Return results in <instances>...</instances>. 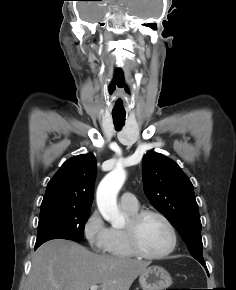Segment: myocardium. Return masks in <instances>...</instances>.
I'll use <instances>...</instances> for the list:
<instances>
[{"label":"myocardium","mask_w":236,"mask_h":290,"mask_svg":"<svg viewBox=\"0 0 236 290\" xmlns=\"http://www.w3.org/2000/svg\"><path fill=\"white\" fill-rule=\"evenodd\" d=\"M147 216H155L158 217L162 222L166 225V227L169 230L171 242L169 247L158 254H150L145 252L139 242V236L138 231L141 222L147 217ZM125 236L128 242V245L132 251V253L140 258L148 259V260H159L166 258L170 254L174 252V250L177 247V232L172 224V222L168 219L166 215H164L162 212L154 210V209H143L140 211H137L133 215L130 216L129 225L124 229Z\"/></svg>","instance_id":"myocardium-1"}]
</instances>
